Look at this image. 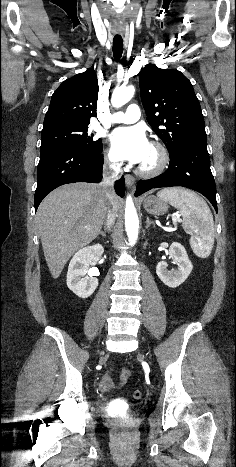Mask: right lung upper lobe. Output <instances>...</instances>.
<instances>
[{
    "instance_id": "1",
    "label": "right lung upper lobe",
    "mask_w": 236,
    "mask_h": 467,
    "mask_svg": "<svg viewBox=\"0 0 236 467\" xmlns=\"http://www.w3.org/2000/svg\"><path fill=\"white\" fill-rule=\"evenodd\" d=\"M98 81L94 70L65 80L54 92L43 129L60 125H89L96 116Z\"/></svg>"
}]
</instances>
